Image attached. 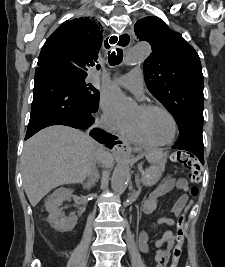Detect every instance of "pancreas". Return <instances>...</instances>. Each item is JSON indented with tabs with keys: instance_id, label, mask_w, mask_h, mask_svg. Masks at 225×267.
<instances>
[{
	"instance_id": "pancreas-1",
	"label": "pancreas",
	"mask_w": 225,
	"mask_h": 267,
	"mask_svg": "<svg viewBox=\"0 0 225 267\" xmlns=\"http://www.w3.org/2000/svg\"><path fill=\"white\" fill-rule=\"evenodd\" d=\"M164 164L165 161L159 162L147 169L141 179L142 184L146 187L155 185L161 178L162 172L164 171Z\"/></svg>"
}]
</instances>
